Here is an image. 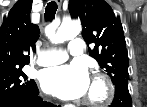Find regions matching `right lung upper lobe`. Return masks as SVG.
<instances>
[{"mask_svg":"<svg viewBox=\"0 0 147 107\" xmlns=\"http://www.w3.org/2000/svg\"><path fill=\"white\" fill-rule=\"evenodd\" d=\"M32 0H18L0 27V72L28 64L39 27L30 22Z\"/></svg>","mask_w":147,"mask_h":107,"instance_id":"right-lung-upper-lobe-1","label":"right lung upper lobe"}]
</instances>
